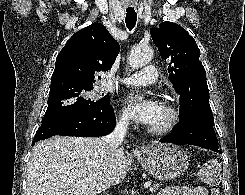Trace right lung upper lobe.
<instances>
[{"label":"right lung upper lobe","mask_w":245,"mask_h":195,"mask_svg":"<svg viewBox=\"0 0 245 195\" xmlns=\"http://www.w3.org/2000/svg\"><path fill=\"white\" fill-rule=\"evenodd\" d=\"M119 51L118 42L100 23L79 30L56 58L50 93L71 87L93 86L97 72L108 71Z\"/></svg>","instance_id":"cb5924a9"}]
</instances>
